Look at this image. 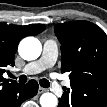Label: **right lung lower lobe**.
I'll use <instances>...</instances> for the list:
<instances>
[{"label": "right lung lower lobe", "mask_w": 107, "mask_h": 107, "mask_svg": "<svg viewBox=\"0 0 107 107\" xmlns=\"http://www.w3.org/2000/svg\"><path fill=\"white\" fill-rule=\"evenodd\" d=\"M38 83L29 81L26 85L10 83L0 91V105L2 107H20L21 103L37 94Z\"/></svg>", "instance_id": "obj_1"}]
</instances>
